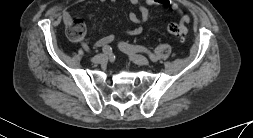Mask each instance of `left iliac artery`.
<instances>
[{
  "instance_id": "1",
  "label": "left iliac artery",
  "mask_w": 253,
  "mask_h": 138,
  "mask_svg": "<svg viewBox=\"0 0 253 138\" xmlns=\"http://www.w3.org/2000/svg\"><path fill=\"white\" fill-rule=\"evenodd\" d=\"M119 46L121 48H124V49H127V50H130V51H133V52H145L149 55L150 59L153 61V62H156L157 61V57L155 54L151 53L147 48L143 47V46H138V45H130V44H127L125 42H121L119 44Z\"/></svg>"
}]
</instances>
